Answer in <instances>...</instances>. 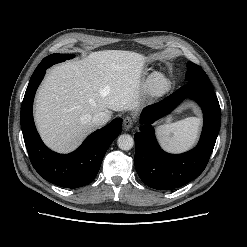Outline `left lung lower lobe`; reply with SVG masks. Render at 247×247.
I'll return each instance as SVG.
<instances>
[{
	"instance_id": "obj_1",
	"label": "left lung lower lobe",
	"mask_w": 247,
	"mask_h": 247,
	"mask_svg": "<svg viewBox=\"0 0 247 247\" xmlns=\"http://www.w3.org/2000/svg\"><path fill=\"white\" fill-rule=\"evenodd\" d=\"M184 98L195 100L202 108L204 125L197 146L182 154H168L158 145L151 124L171 112ZM140 132L135 138V168L149 187L172 190L197 178L205 169L213 151L220 125L221 109L212 84L187 82L162 101L147 106Z\"/></svg>"
}]
</instances>
